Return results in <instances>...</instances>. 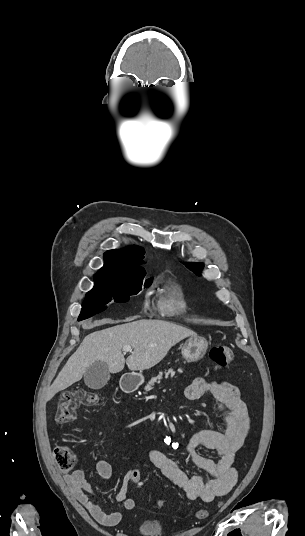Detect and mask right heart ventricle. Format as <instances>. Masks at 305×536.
<instances>
[{
	"label": "right heart ventricle",
	"instance_id": "e07e8e85",
	"mask_svg": "<svg viewBox=\"0 0 305 536\" xmlns=\"http://www.w3.org/2000/svg\"><path fill=\"white\" fill-rule=\"evenodd\" d=\"M158 304L170 315L186 311V304L180 291L174 287L166 288L157 295Z\"/></svg>",
	"mask_w": 305,
	"mask_h": 536
}]
</instances>
